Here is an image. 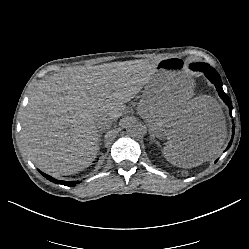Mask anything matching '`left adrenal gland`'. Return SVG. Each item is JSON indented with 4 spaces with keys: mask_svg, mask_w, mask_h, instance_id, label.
Segmentation results:
<instances>
[{
    "mask_svg": "<svg viewBox=\"0 0 249 249\" xmlns=\"http://www.w3.org/2000/svg\"><path fill=\"white\" fill-rule=\"evenodd\" d=\"M151 142H155L157 145H159V143L157 142V140L154 139L153 137L151 138Z\"/></svg>",
    "mask_w": 249,
    "mask_h": 249,
    "instance_id": "1",
    "label": "left adrenal gland"
}]
</instances>
